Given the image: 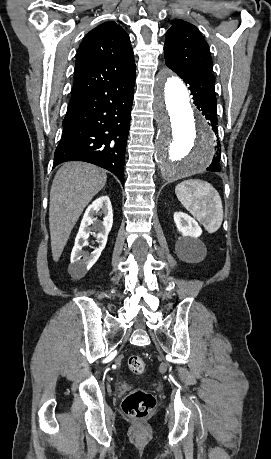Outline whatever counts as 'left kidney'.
<instances>
[{
	"mask_svg": "<svg viewBox=\"0 0 271 459\" xmlns=\"http://www.w3.org/2000/svg\"><path fill=\"white\" fill-rule=\"evenodd\" d=\"M174 222L178 231L182 233V237H179L176 243L177 247L182 251H196L195 241L198 233H200L196 220L184 212H175Z\"/></svg>",
	"mask_w": 271,
	"mask_h": 459,
	"instance_id": "5707ae66",
	"label": "left kidney"
}]
</instances>
